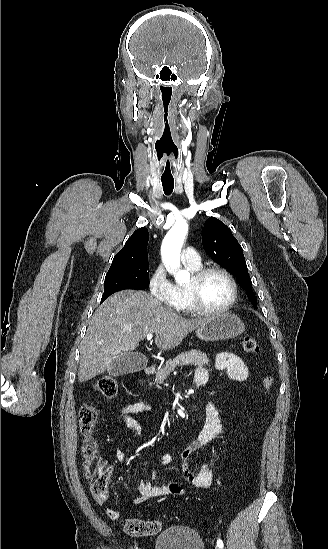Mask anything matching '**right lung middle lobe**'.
<instances>
[{"instance_id": "right-lung-middle-lobe-1", "label": "right lung middle lobe", "mask_w": 328, "mask_h": 549, "mask_svg": "<svg viewBox=\"0 0 328 549\" xmlns=\"http://www.w3.org/2000/svg\"><path fill=\"white\" fill-rule=\"evenodd\" d=\"M148 260L137 261L124 267L109 270L105 277L103 302L111 294L124 290H141L149 286Z\"/></svg>"}]
</instances>
